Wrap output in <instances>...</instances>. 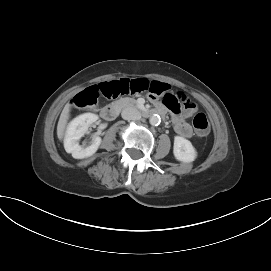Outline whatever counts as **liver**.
<instances>
[{"label": "liver", "mask_w": 271, "mask_h": 271, "mask_svg": "<svg viewBox=\"0 0 271 271\" xmlns=\"http://www.w3.org/2000/svg\"><path fill=\"white\" fill-rule=\"evenodd\" d=\"M71 105L68 103L65 105L58 122L57 126V135L60 140L64 137L65 128L69 119V113H70Z\"/></svg>", "instance_id": "1"}]
</instances>
